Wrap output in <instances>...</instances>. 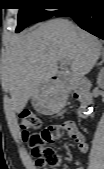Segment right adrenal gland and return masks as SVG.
I'll list each match as a JSON object with an SVG mask.
<instances>
[{"label":"right adrenal gland","mask_w":104,"mask_h":169,"mask_svg":"<svg viewBox=\"0 0 104 169\" xmlns=\"http://www.w3.org/2000/svg\"><path fill=\"white\" fill-rule=\"evenodd\" d=\"M103 64H104V51H102L101 61L97 64V66H103Z\"/></svg>","instance_id":"1"}]
</instances>
